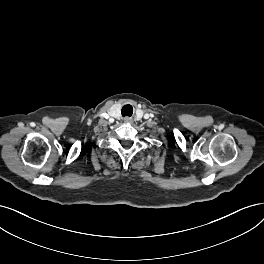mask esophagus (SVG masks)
<instances>
[{
    "mask_svg": "<svg viewBox=\"0 0 264 264\" xmlns=\"http://www.w3.org/2000/svg\"><path fill=\"white\" fill-rule=\"evenodd\" d=\"M124 121H125L126 123H131V122H132V120H131L130 118H125Z\"/></svg>",
    "mask_w": 264,
    "mask_h": 264,
    "instance_id": "obj_1",
    "label": "esophagus"
}]
</instances>
